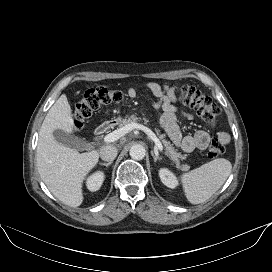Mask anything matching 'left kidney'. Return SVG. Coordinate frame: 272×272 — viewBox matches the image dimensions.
<instances>
[{
	"mask_svg": "<svg viewBox=\"0 0 272 272\" xmlns=\"http://www.w3.org/2000/svg\"><path fill=\"white\" fill-rule=\"evenodd\" d=\"M159 176L164 185L169 188H175L178 185V180L176 176L168 169L161 168L159 170Z\"/></svg>",
	"mask_w": 272,
	"mask_h": 272,
	"instance_id": "left-kidney-1",
	"label": "left kidney"
}]
</instances>
